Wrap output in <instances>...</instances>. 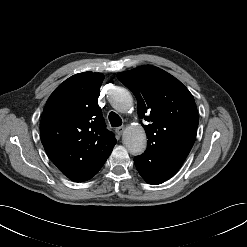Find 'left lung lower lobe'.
Returning a JSON list of instances; mask_svg holds the SVG:
<instances>
[{"label": "left lung lower lobe", "instance_id": "0a47b994", "mask_svg": "<svg viewBox=\"0 0 247 247\" xmlns=\"http://www.w3.org/2000/svg\"><path fill=\"white\" fill-rule=\"evenodd\" d=\"M189 152L180 147L157 151L148 149L136 156L134 163L149 184H161L180 169Z\"/></svg>", "mask_w": 247, "mask_h": 247}]
</instances>
